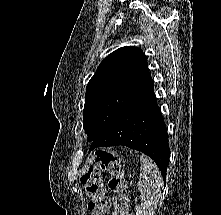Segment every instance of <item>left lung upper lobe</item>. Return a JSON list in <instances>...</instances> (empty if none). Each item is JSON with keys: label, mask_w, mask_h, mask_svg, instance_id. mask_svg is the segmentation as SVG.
<instances>
[{"label": "left lung upper lobe", "mask_w": 221, "mask_h": 215, "mask_svg": "<svg viewBox=\"0 0 221 215\" xmlns=\"http://www.w3.org/2000/svg\"><path fill=\"white\" fill-rule=\"evenodd\" d=\"M152 88L147 57L139 48L125 46L108 55L86 89L83 128L88 140L93 141Z\"/></svg>", "instance_id": "1"}]
</instances>
